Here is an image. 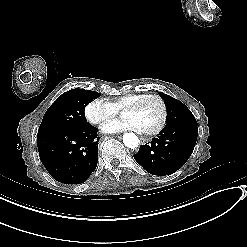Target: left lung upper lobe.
Wrapping results in <instances>:
<instances>
[{
	"mask_svg": "<svg viewBox=\"0 0 247 247\" xmlns=\"http://www.w3.org/2000/svg\"><path fill=\"white\" fill-rule=\"evenodd\" d=\"M159 94L164 99L167 106L166 128H172L180 125L197 126V121L187 106L169 95L162 92Z\"/></svg>",
	"mask_w": 247,
	"mask_h": 247,
	"instance_id": "1",
	"label": "left lung upper lobe"
}]
</instances>
